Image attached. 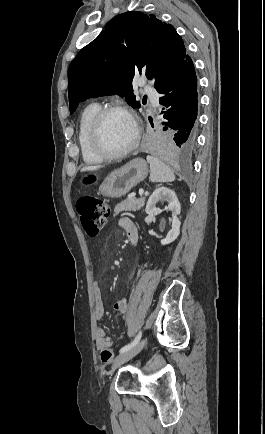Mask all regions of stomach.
<instances>
[{"label": "stomach", "mask_w": 265, "mask_h": 434, "mask_svg": "<svg viewBox=\"0 0 265 434\" xmlns=\"http://www.w3.org/2000/svg\"><path fill=\"white\" fill-rule=\"evenodd\" d=\"M149 172L148 164L143 158H135L123 168L111 172L102 182L99 192L106 198H121L130 192L133 186H137L146 178Z\"/></svg>", "instance_id": "0dacf381"}]
</instances>
